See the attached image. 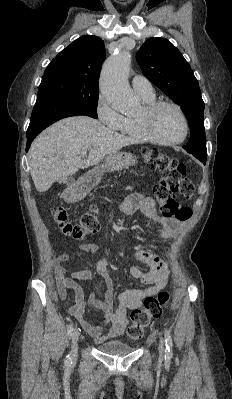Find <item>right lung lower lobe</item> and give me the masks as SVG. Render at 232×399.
Here are the masks:
<instances>
[{
	"mask_svg": "<svg viewBox=\"0 0 232 399\" xmlns=\"http://www.w3.org/2000/svg\"><path fill=\"white\" fill-rule=\"evenodd\" d=\"M78 115L97 118V115L88 112L78 105L55 98L37 96V101L33 108L30 124L27 130L26 151L30 148L31 142L34 138L46 127L60 119Z\"/></svg>",
	"mask_w": 232,
	"mask_h": 399,
	"instance_id": "obj_1",
	"label": "right lung lower lobe"
}]
</instances>
